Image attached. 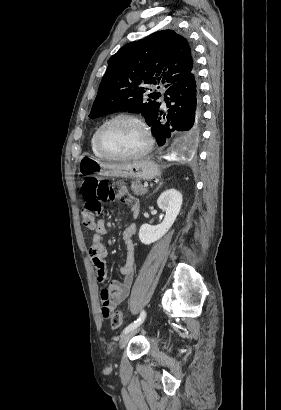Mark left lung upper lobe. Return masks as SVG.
<instances>
[{"mask_svg":"<svg viewBox=\"0 0 281 410\" xmlns=\"http://www.w3.org/2000/svg\"><path fill=\"white\" fill-rule=\"evenodd\" d=\"M195 70L187 40L173 30L158 31L128 43L109 59L89 117L125 110L142 113L150 124L159 112L160 103L154 100L160 93L146 84L169 88ZM147 91H152L150 99L144 98Z\"/></svg>","mask_w":281,"mask_h":410,"instance_id":"5c2ea615","label":"left lung upper lobe"}]
</instances>
